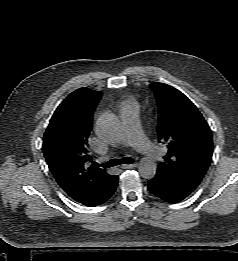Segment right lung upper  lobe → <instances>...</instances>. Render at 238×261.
<instances>
[{
	"mask_svg": "<svg viewBox=\"0 0 238 261\" xmlns=\"http://www.w3.org/2000/svg\"><path fill=\"white\" fill-rule=\"evenodd\" d=\"M100 98L101 92L87 87L69 94L54 112L43 137L42 150L51 173L67 195L81 204L99 194L112 178L94 164L87 150Z\"/></svg>",
	"mask_w": 238,
	"mask_h": 261,
	"instance_id": "right-lung-upper-lobe-1",
	"label": "right lung upper lobe"
}]
</instances>
